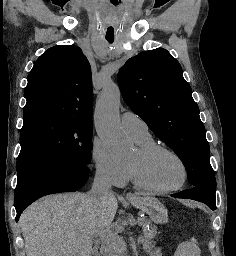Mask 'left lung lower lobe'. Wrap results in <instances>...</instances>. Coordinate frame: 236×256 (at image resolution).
Listing matches in <instances>:
<instances>
[{"mask_svg":"<svg viewBox=\"0 0 236 256\" xmlns=\"http://www.w3.org/2000/svg\"><path fill=\"white\" fill-rule=\"evenodd\" d=\"M215 189H210L206 187H196L193 189H188L177 194L171 195L175 198H187L196 201H200L208 205L212 210L216 209V197Z\"/></svg>","mask_w":236,"mask_h":256,"instance_id":"obj_1","label":"left lung lower lobe"}]
</instances>
